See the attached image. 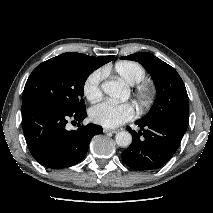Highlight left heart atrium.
Here are the masks:
<instances>
[{
	"mask_svg": "<svg viewBox=\"0 0 213 213\" xmlns=\"http://www.w3.org/2000/svg\"><path fill=\"white\" fill-rule=\"evenodd\" d=\"M135 115L132 104H116L110 101L101 102L90 110V118L94 123L107 128L117 127L130 121Z\"/></svg>",
	"mask_w": 213,
	"mask_h": 213,
	"instance_id": "obj_1",
	"label": "left heart atrium"
}]
</instances>
